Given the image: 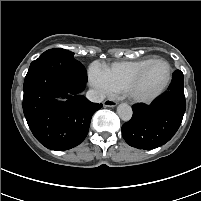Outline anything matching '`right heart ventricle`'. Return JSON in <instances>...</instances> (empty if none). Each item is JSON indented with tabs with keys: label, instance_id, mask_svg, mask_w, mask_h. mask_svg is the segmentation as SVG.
<instances>
[{
	"label": "right heart ventricle",
	"instance_id": "e07e8e85",
	"mask_svg": "<svg viewBox=\"0 0 201 201\" xmlns=\"http://www.w3.org/2000/svg\"><path fill=\"white\" fill-rule=\"evenodd\" d=\"M154 58H144L135 61L115 62L104 67L109 81L115 92L124 90L127 82L149 61Z\"/></svg>",
	"mask_w": 201,
	"mask_h": 201
}]
</instances>
